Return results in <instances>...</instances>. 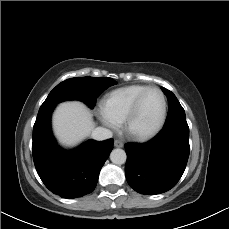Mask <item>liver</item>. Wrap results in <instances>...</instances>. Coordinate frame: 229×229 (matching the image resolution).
I'll list each match as a JSON object with an SVG mask.
<instances>
[{"instance_id": "liver-1", "label": "liver", "mask_w": 229, "mask_h": 229, "mask_svg": "<svg viewBox=\"0 0 229 229\" xmlns=\"http://www.w3.org/2000/svg\"><path fill=\"white\" fill-rule=\"evenodd\" d=\"M53 129L62 144L73 146L94 130L92 114L79 101L61 103L53 115Z\"/></svg>"}]
</instances>
